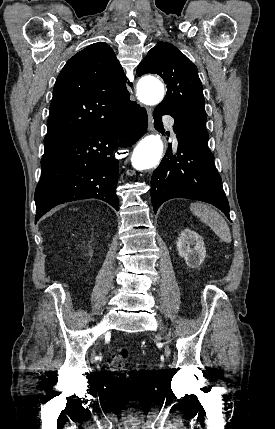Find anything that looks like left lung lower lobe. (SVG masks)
<instances>
[{
  "instance_id": "obj_1",
  "label": "left lung lower lobe",
  "mask_w": 275,
  "mask_h": 429,
  "mask_svg": "<svg viewBox=\"0 0 275 429\" xmlns=\"http://www.w3.org/2000/svg\"><path fill=\"white\" fill-rule=\"evenodd\" d=\"M165 114L169 113L158 106L153 112L154 127L162 134L165 130L161 115ZM173 128L178 140L177 153L172 154V146L169 147L151 179L154 212L169 199L188 198L213 204L230 220L221 176L215 167L214 155L208 148V135L175 119Z\"/></svg>"
}]
</instances>
